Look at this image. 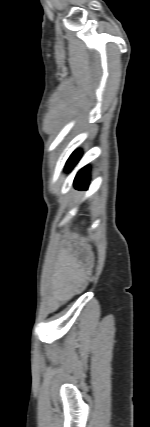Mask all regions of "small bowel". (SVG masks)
I'll list each match as a JSON object with an SVG mask.
<instances>
[{"instance_id":"1","label":"small bowel","mask_w":150,"mask_h":427,"mask_svg":"<svg viewBox=\"0 0 150 427\" xmlns=\"http://www.w3.org/2000/svg\"><path fill=\"white\" fill-rule=\"evenodd\" d=\"M76 286L77 282L73 278H61L54 288V299L52 301V306L56 307L59 302L68 299L75 291Z\"/></svg>"}]
</instances>
